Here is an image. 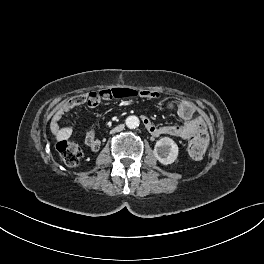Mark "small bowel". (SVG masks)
<instances>
[{"label": "small bowel", "instance_id": "small-bowel-1", "mask_svg": "<svg viewBox=\"0 0 264 264\" xmlns=\"http://www.w3.org/2000/svg\"><path fill=\"white\" fill-rule=\"evenodd\" d=\"M140 96L146 99L157 98L158 94L151 90H143L140 92ZM88 102L86 96H77L74 97L67 102L63 103L56 111L53 116L51 127L52 130L59 136L63 138H68L71 135V128H63L61 129L59 126V121L62 116L75 107ZM89 104V103H88ZM90 107H96L97 104H89ZM177 114L178 116L184 120L182 125H164V126H156L148 117L142 116V121L147 129V131L153 137H159L162 135H169L174 137H179L182 139H188L194 134H196L203 126L202 121L199 118H195L193 116V108L187 102H181L177 106ZM85 142L87 146L93 150L97 151L100 148V140L95 137L93 131H89L86 134Z\"/></svg>", "mask_w": 264, "mask_h": 264}]
</instances>
